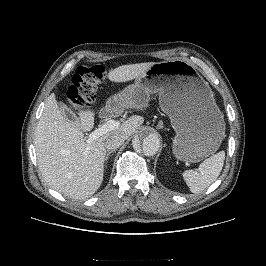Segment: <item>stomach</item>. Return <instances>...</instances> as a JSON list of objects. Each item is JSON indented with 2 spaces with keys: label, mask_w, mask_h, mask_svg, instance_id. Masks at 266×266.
<instances>
[{
  "label": "stomach",
  "mask_w": 266,
  "mask_h": 266,
  "mask_svg": "<svg viewBox=\"0 0 266 266\" xmlns=\"http://www.w3.org/2000/svg\"><path fill=\"white\" fill-rule=\"evenodd\" d=\"M159 94V104L176 132L174 156L195 163L213 154L220 146L225 124L214 94L196 68L183 60L153 64L135 83L108 100L112 109L141 108L150 94Z\"/></svg>",
  "instance_id": "stomach-1"
}]
</instances>
